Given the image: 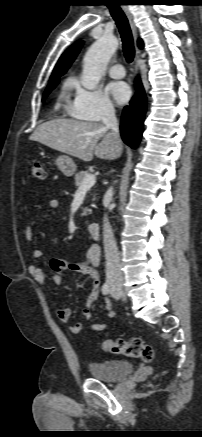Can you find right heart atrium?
<instances>
[{"mask_svg":"<svg viewBox=\"0 0 202 437\" xmlns=\"http://www.w3.org/2000/svg\"><path fill=\"white\" fill-rule=\"evenodd\" d=\"M73 98L68 106L69 113L78 119L101 121L115 114V107L102 90H90L75 83Z\"/></svg>","mask_w":202,"mask_h":437,"instance_id":"1","label":"right heart atrium"}]
</instances>
